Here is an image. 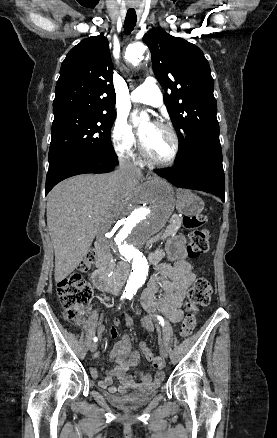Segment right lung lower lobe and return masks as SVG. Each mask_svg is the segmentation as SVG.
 I'll list each match as a JSON object with an SVG mask.
<instances>
[{
    "label": "right lung lower lobe",
    "mask_w": 277,
    "mask_h": 438,
    "mask_svg": "<svg viewBox=\"0 0 277 438\" xmlns=\"http://www.w3.org/2000/svg\"><path fill=\"white\" fill-rule=\"evenodd\" d=\"M118 164L116 156L94 155L66 161L49 170L46 179V194L60 181L83 173H108Z\"/></svg>",
    "instance_id": "right-lung-lower-lobe-1"
}]
</instances>
